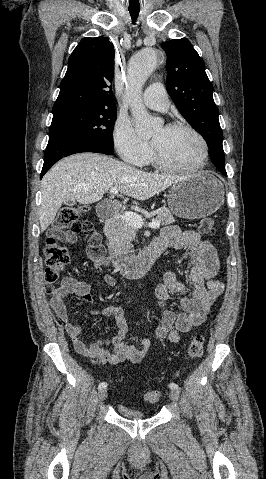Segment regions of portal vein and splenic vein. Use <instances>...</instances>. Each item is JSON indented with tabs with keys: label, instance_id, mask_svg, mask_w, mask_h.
Returning <instances> with one entry per match:
<instances>
[{
	"label": "portal vein and splenic vein",
	"instance_id": "18ae733b",
	"mask_svg": "<svg viewBox=\"0 0 266 479\" xmlns=\"http://www.w3.org/2000/svg\"><path fill=\"white\" fill-rule=\"evenodd\" d=\"M110 193L113 196L118 194V188L117 187H112L110 189ZM123 217L128 224H130L131 226H133L135 228H141L144 225L142 217L139 216L136 213L125 212ZM148 227L149 228H154V229L159 228L160 227V222L159 221H153V222L148 224Z\"/></svg>",
	"mask_w": 266,
	"mask_h": 479
}]
</instances>
